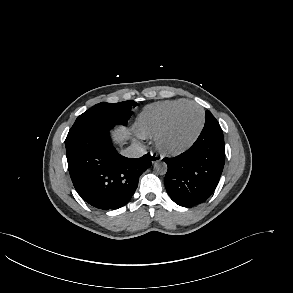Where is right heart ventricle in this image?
Wrapping results in <instances>:
<instances>
[{
    "label": "right heart ventricle",
    "mask_w": 293,
    "mask_h": 293,
    "mask_svg": "<svg viewBox=\"0 0 293 293\" xmlns=\"http://www.w3.org/2000/svg\"><path fill=\"white\" fill-rule=\"evenodd\" d=\"M188 102L186 99L159 101L146 106L137 119V130L142 137H153L166 121L170 112Z\"/></svg>",
    "instance_id": "1"
}]
</instances>
